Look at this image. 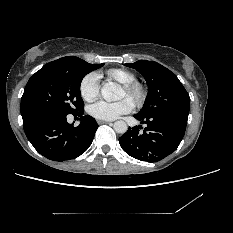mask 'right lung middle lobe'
<instances>
[{
    "instance_id": "obj_1",
    "label": "right lung middle lobe",
    "mask_w": 233,
    "mask_h": 233,
    "mask_svg": "<svg viewBox=\"0 0 233 233\" xmlns=\"http://www.w3.org/2000/svg\"><path fill=\"white\" fill-rule=\"evenodd\" d=\"M102 64H89L75 57L63 66H43L28 81L21 98L23 124L48 114H76L83 110L80 84Z\"/></svg>"
}]
</instances>
